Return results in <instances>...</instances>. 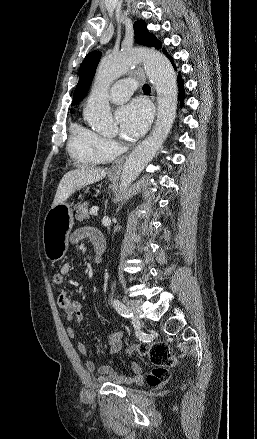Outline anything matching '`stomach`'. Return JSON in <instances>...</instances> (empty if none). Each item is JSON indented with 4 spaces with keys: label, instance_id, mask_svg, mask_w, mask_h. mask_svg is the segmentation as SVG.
<instances>
[{
    "label": "stomach",
    "instance_id": "0dacf381",
    "mask_svg": "<svg viewBox=\"0 0 257 439\" xmlns=\"http://www.w3.org/2000/svg\"><path fill=\"white\" fill-rule=\"evenodd\" d=\"M73 224V210L66 202L47 212L43 224V245L47 259L56 262L65 255Z\"/></svg>",
    "mask_w": 257,
    "mask_h": 439
}]
</instances>
